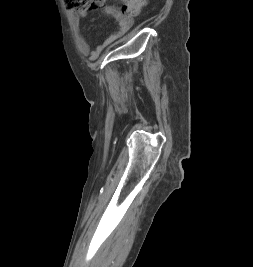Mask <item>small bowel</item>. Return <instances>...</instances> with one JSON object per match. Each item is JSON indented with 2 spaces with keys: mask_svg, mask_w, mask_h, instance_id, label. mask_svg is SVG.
Masks as SVG:
<instances>
[{
  "mask_svg": "<svg viewBox=\"0 0 253 267\" xmlns=\"http://www.w3.org/2000/svg\"><path fill=\"white\" fill-rule=\"evenodd\" d=\"M106 12L108 13V15H110L115 19V21L117 22V28L111 35H109L105 39V41L102 44L98 45L95 49L90 48V45L81 34L79 15L75 12L69 13L70 22L76 35V43L78 49L83 55L88 56L90 60L97 59L99 55L108 46H110L111 44L115 43L117 40L122 38L133 25V18L121 13L115 7L112 6L107 7Z\"/></svg>",
  "mask_w": 253,
  "mask_h": 267,
  "instance_id": "c3829d8e",
  "label": "small bowel"
}]
</instances>
